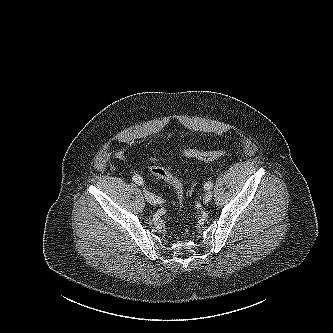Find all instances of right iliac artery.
<instances>
[{
    "label": "right iliac artery",
    "mask_w": 333,
    "mask_h": 333,
    "mask_svg": "<svg viewBox=\"0 0 333 333\" xmlns=\"http://www.w3.org/2000/svg\"><path fill=\"white\" fill-rule=\"evenodd\" d=\"M133 181L138 184V185H143V179L140 175H133L132 177ZM152 194V193H151ZM156 197V196H155ZM157 202H161V200L158 198H156Z\"/></svg>",
    "instance_id": "right-iliac-artery-1"
}]
</instances>
